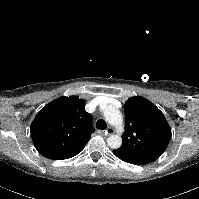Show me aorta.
I'll return each mask as SVG.
<instances>
[{
  "mask_svg": "<svg viewBox=\"0 0 199 199\" xmlns=\"http://www.w3.org/2000/svg\"><path fill=\"white\" fill-rule=\"evenodd\" d=\"M104 117H105V120L109 124L118 128V130L120 132L122 131V129H123V117H122L121 112L118 109H116L112 106H108L104 110ZM107 144L112 149H118L122 145L121 135L120 134L111 135L107 139Z\"/></svg>",
  "mask_w": 199,
  "mask_h": 199,
  "instance_id": "1",
  "label": "aorta"
}]
</instances>
